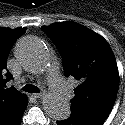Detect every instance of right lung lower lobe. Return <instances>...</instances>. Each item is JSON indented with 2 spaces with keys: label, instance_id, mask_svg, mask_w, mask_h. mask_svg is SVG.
Masks as SVG:
<instances>
[{
  "label": "right lung lower lobe",
  "instance_id": "right-lung-lower-lobe-1",
  "mask_svg": "<svg viewBox=\"0 0 125 125\" xmlns=\"http://www.w3.org/2000/svg\"><path fill=\"white\" fill-rule=\"evenodd\" d=\"M28 101L24 97L11 107L0 112V125H19Z\"/></svg>",
  "mask_w": 125,
  "mask_h": 125
}]
</instances>
